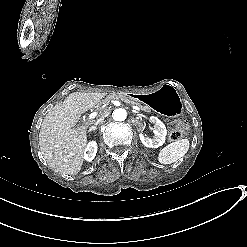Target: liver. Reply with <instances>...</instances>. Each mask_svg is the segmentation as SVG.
Returning a JSON list of instances; mask_svg holds the SVG:
<instances>
[{"label":"liver","instance_id":"1","mask_svg":"<svg viewBox=\"0 0 247 247\" xmlns=\"http://www.w3.org/2000/svg\"><path fill=\"white\" fill-rule=\"evenodd\" d=\"M105 93L74 92L44 117L39 145L48 166L63 177L76 175L83 165L88 124L75 127L81 115L95 107Z\"/></svg>","mask_w":247,"mask_h":247}]
</instances>
